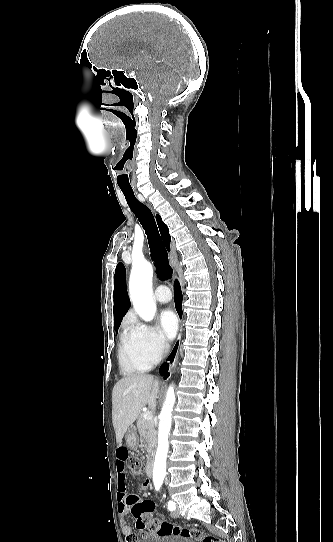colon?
Listing matches in <instances>:
<instances>
[{
    "label": "colon",
    "instance_id": "obj_1",
    "mask_svg": "<svg viewBox=\"0 0 333 542\" xmlns=\"http://www.w3.org/2000/svg\"><path fill=\"white\" fill-rule=\"evenodd\" d=\"M130 468L135 476L142 475L146 471L143 460L135 457L130 459ZM131 517L134 519L135 526L139 531L152 540L165 538L170 535H178L186 540L196 542H228L226 536H212L204 534L197 528L182 527L174 525L168 521L159 520L152 515L155 507L153 500H139L136 495L131 494L127 498ZM129 542H140V536L137 539H129Z\"/></svg>",
    "mask_w": 333,
    "mask_h": 542
}]
</instances>
